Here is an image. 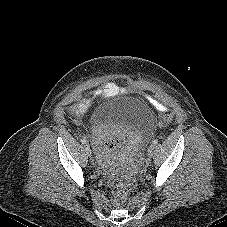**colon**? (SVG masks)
Listing matches in <instances>:
<instances>
[{"instance_id": "1", "label": "colon", "mask_w": 227, "mask_h": 227, "mask_svg": "<svg viewBox=\"0 0 227 227\" xmlns=\"http://www.w3.org/2000/svg\"><path fill=\"white\" fill-rule=\"evenodd\" d=\"M172 120L171 116L163 118L161 124L168 125ZM134 176L130 173H116L111 179L112 201L115 206H121L125 202L134 185Z\"/></svg>"}]
</instances>
